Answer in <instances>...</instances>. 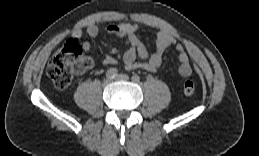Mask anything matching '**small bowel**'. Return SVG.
<instances>
[{
	"label": "small bowel",
	"instance_id": "c3829d8e",
	"mask_svg": "<svg viewBox=\"0 0 259 156\" xmlns=\"http://www.w3.org/2000/svg\"><path fill=\"white\" fill-rule=\"evenodd\" d=\"M138 24L136 23H117L108 25L104 32L121 38L128 46L127 51L123 55V61L126 69H144L149 72H156L162 65L163 54L165 50L175 45V49L178 52V74L181 77H188L192 73V67L190 59L186 53L184 46L180 43H176L175 38L165 30H160L156 35V47L151 54L148 52L145 45L138 38L136 32L138 31ZM81 29H75L71 36L73 39L78 40L83 36ZM103 31L96 25H89L85 29V34L89 37L95 38L100 36ZM90 43L85 41L82 43V48L85 51L90 50ZM137 58L141 61H137ZM116 63V59L111 55H105L102 59L103 65H112Z\"/></svg>",
	"mask_w": 259,
	"mask_h": 156
}]
</instances>
